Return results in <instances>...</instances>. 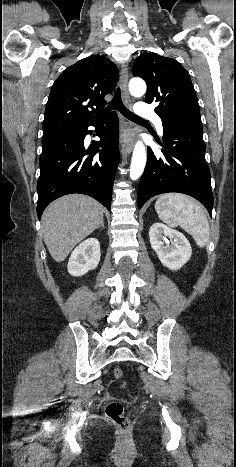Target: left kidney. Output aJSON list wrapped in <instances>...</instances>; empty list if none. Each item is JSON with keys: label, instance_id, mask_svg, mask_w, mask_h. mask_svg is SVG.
I'll return each instance as SVG.
<instances>
[{"label": "left kidney", "instance_id": "5707ae66", "mask_svg": "<svg viewBox=\"0 0 236 467\" xmlns=\"http://www.w3.org/2000/svg\"><path fill=\"white\" fill-rule=\"evenodd\" d=\"M149 239L161 263L170 270H179L192 255L187 238L162 223H154L150 227Z\"/></svg>", "mask_w": 236, "mask_h": 467}]
</instances>
